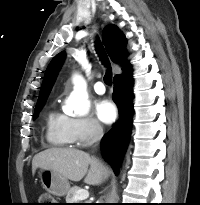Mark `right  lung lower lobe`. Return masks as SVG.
<instances>
[{"mask_svg": "<svg viewBox=\"0 0 200 205\" xmlns=\"http://www.w3.org/2000/svg\"><path fill=\"white\" fill-rule=\"evenodd\" d=\"M133 78L129 67L122 75L114 77L113 100L117 104L120 119L105 135L102 141V154L106 160H110L114 173L119 172V164L128 146L132 117H133Z\"/></svg>", "mask_w": 200, "mask_h": 205, "instance_id": "right-lung-lower-lobe-1", "label": "right lung lower lobe"}]
</instances>
